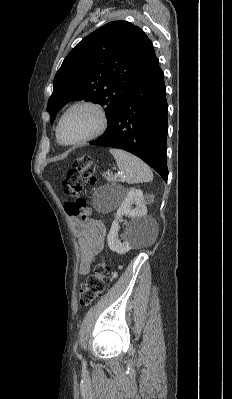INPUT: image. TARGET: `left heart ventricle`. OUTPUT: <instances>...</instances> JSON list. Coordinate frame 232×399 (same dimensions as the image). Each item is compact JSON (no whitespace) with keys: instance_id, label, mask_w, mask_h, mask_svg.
<instances>
[{"instance_id":"obj_1","label":"left heart ventricle","mask_w":232,"mask_h":399,"mask_svg":"<svg viewBox=\"0 0 232 399\" xmlns=\"http://www.w3.org/2000/svg\"><path fill=\"white\" fill-rule=\"evenodd\" d=\"M98 125L97 113L89 107H77L65 117L61 132L68 141L80 140L90 135Z\"/></svg>"}]
</instances>
